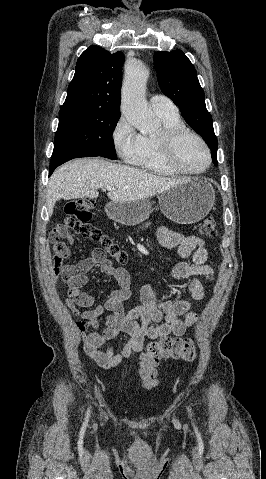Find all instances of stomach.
Wrapping results in <instances>:
<instances>
[{
	"label": "stomach",
	"instance_id": "stomach-1",
	"mask_svg": "<svg viewBox=\"0 0 266 479\" xmlns=\"http://www.w3.org/2000/svg\"><path fill=\"white\" fill-rule=\"evenodd\" d=\"M162 213L179 224H192L203 219L212 209L215 192L212 185L201 178L188 179L158 197ZM107 215L124 225H134L151 213L147 200L115 202L106 205Z\"/></svg>",
	"mask_w": 266,
	"mask_h": 479
}]
</instances>
